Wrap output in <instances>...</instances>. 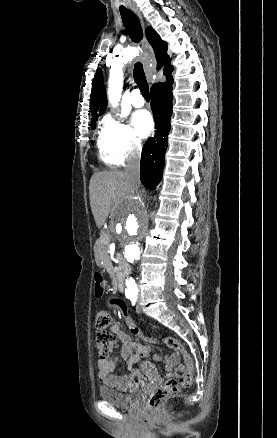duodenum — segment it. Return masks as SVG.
Masks as SVG:
<instances>
[{"label":"duodenum","mask_w":277,"mask_h":438,"mask_svg":"<svg viewBox=\"0 0 277 438\" xmlns=\"http://www.w3.org/2000/svg\"><path fill=\"white\" fill-rule=\"evenodd\" d=\"M117 264H118V268H119V272L117 274V288L119 290H123V288H124V285H123V273H125L127 271L128 263L124 259V257H122L121 255H118V257H117Z\"/></svg>","instance_id":"1"}]
</instances>
